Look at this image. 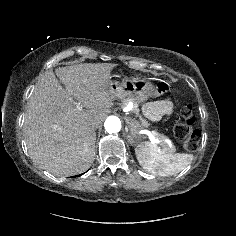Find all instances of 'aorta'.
I'll return each mask as SVG.
<instances>
[{"instance_id": "aorta-1", "label": "aorta", "mask_w": 236, "mask_h": 236, "mask_svg": "<svg viewBox=\"0 0 236 236\" xmlns=\"http://www.w3.org/2000/svg\"><path fill=\"white\" fill-rule=\"evenodd\" d=\"M104 126L108 133H117L121 129V121L116 116H109L106 119Z\"/></svg>"}]
</instances>
